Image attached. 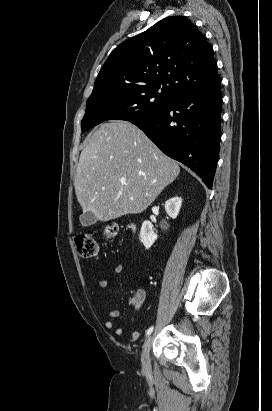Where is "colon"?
Masks as SVG:
<instances>
[{"instance_id": "colon-1", "label": "colon", "mask_w": 272, "mask_h": 411, "mask_svg": "<svg viewBox=\"0 0 272 411\" xmlns=\"http://www.w3.org/2000/svg\"><path fill=\"white\" fill-rule=\"evenodd\" d=\"M118 232L116 225L106 226L103 229V234L107 239H113ZM75 244L77 251L81 257L91 258L95 257L98 253V244L95 238L90 234H81L75 237ZM133 302L136 304L139 302V296H134Z\"/></svg>"}]
</instances>
